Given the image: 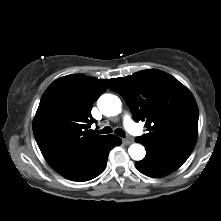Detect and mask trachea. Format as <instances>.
Returning a JSON list of instances; mask_svg holds the SVG:
<instances>
[{
    "label": "trachea",
    "instance_id": "3493384b",
    "mask_svg": "<svg viewBox=\"0 0 221 221\" xmlns=\"http://www.w3.org/2000/svg\"><path fill=\"white\" fill-rule=\"evenodd\" d=\"M111 132H112V129L109 126H105L102 130L99 131V133H101V134H108ZM115 134H117L120 137L125 136V132L122 129H116Z\"/></svg>",
    "mask_w": 221,
    "mask_h": 221
}]
</instances>
